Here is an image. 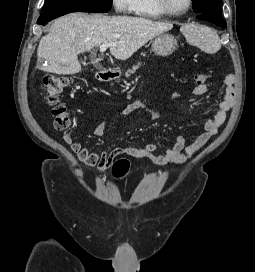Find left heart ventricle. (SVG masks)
Segmentation results:
<instances>
[{
  "label": "left heart ventricle",
  "mask_w": 255,
  "mask_h": 272,
  "mask_svg": "<svg viewBox=\"0 0 255 272\" xmlns=\"http://www.w3.org/2000/svg\"><path fill=\"white\" fill-rule=\"evenodd\" d=\"M169 7L174 11H179L187 6V0H167Z\"/></svg>",
  "instance_id": "b2bd125f"
}]
</instances>
